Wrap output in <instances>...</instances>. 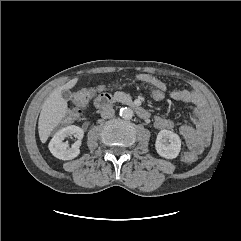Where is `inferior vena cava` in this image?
I'll list each match as a JSON object with an SVG mask.
<instances>
[{
	"mask_svg": "<svg viewBox=\"0 0 241 241\" xmlns=\"http://www.w3.org/2000/svg\"><path fill=\"white\" fill-rule=\"evenodd\" d=\"M101 117L104 118V119H109V118H112L115 114V110L110 107V106H107V107H104L101 112Z\"/></svg>",
	"mask_w": 241,
	"mask_h": 241,
	"instance_id": "1",
	"label": "inferior vena cava"
}]
</instances>
